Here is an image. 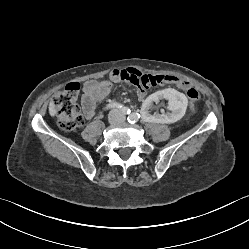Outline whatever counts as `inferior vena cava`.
Here are the masks:
<instances>
[{
  "instance_id": "602c4592",
  "label": "inferior vena cava",
  "mask_w": 249,
  "mask_h": 249,
  "mask_svg": "<svg viewBox=\"0 0 249 249\" xmlns=\"http://www.w3.org/2000/svg\"><path fill=\"white\" fill-rule=\"evenodd\" d=\"M111 115L117 117V119H115L116 121L122 122L125 120V116L118 110H113Z\"/></svg>"
}]
</instances>
